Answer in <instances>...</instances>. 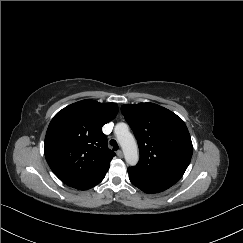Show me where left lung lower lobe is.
Masks as SVG:
<instances>
[{"label":"left lung lower lobe","instance_id":"left-lung-lower-lobe-1","mask_svg":"<svg viewBox=\"0 0 243 243\" xmlns=\"http://www.w3.org/2000/svg\"><path fill=\"white\" fill-rule=\"evenodd\" d=\"M182 175L180 173H167L148 178H138L129 175V179L133 185L146 193H158L174 185Z\"/></svg>","mask_w":243,"mask_h":243}]
</instances>
